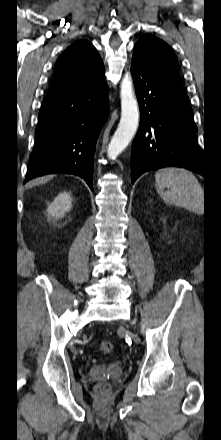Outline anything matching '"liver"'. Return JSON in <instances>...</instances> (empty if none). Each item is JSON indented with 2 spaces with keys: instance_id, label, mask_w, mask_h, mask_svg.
<instances>
[{
  "instance_id": "obj_1",
  "label": "liver",
  "mask_w": 221,
  "mask_h": 440,
  "mask_svg": "<svg viewBox=\"0 0 221 440\" xmlns=\"http://www.w3.org/2000/svg\"><path fill=\"white\" fill-rule=\"evenodd\" d=\"M52 177H53V176H45V177L38 178V179L32 181V182L29 184V187H33V186H36V185L43 184V183L49 181L50 179H52Z\"/></svg>"
}]
</instances>
